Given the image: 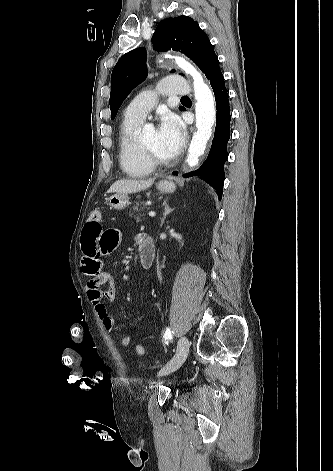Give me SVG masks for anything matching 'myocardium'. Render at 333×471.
Wrapping results in <instances>:
<instances>
[{
	"instance_id": "myocardium-1",
	"label": "myocardium",
	"mask_w": 333,
	"mask_h": 471,
	"mask_svg": "<svg viewBox=\"0 0 333 471\" xmlns=\"http://www.w3.org/2000/svg\"><path fill=\"white\" fill-rule=\"evenodd\" d=\"M140 146L145 156L150 161V163L154 165V167L155 166H169L173 163L172 159H162L158 157L150 149H148L142 141H140Z\"/></svg>"
}]
</instances>
